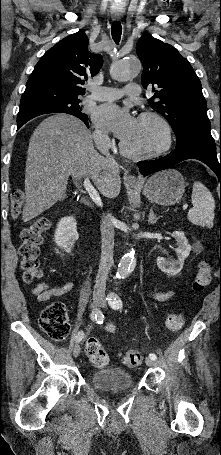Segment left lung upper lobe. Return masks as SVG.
<instances>
[{
	"instance_id": "1",
	"label": "left lung upper lobe",
	"mask_w": 221,
	"mask_h": 455,
	"mask_svg": "<svg viewBox=\"0 0 221 455\" xmlns=\"http://www.w3.org/2000/svg\"><path fill=\"white\" fill-rule=\"evenodd\" d=\"M136 51L143 64V87L154 85L149 104L170 123L177 143L189 135L211 136L202 86L189 61L150 35L141 36Z\"/></svg>"
}]
</instances>
